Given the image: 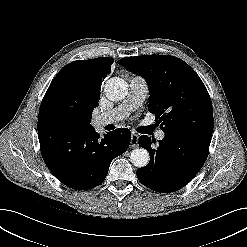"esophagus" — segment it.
<instances>
[{
    "label": "esophagus",
    "instance_id": "1",
    "mask_svg": "<svg viewBox=\"0 0 247 247\" xmlns=\"http://www.w3.org/2000/svg\"><path fill=\"white\" fill-rule=\"evenodd\" d=\"M130 147L132 149L138 147V135L134 132H132V135H131Z\"/></svg>",
    "mask_w": 247,
    "mask_h": 247
}]
</instances>
